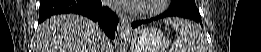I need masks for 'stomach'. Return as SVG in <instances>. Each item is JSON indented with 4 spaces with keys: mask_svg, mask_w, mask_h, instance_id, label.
Wrapping results in <instances>:
<instances>
[{
    "mask_svg": "<svg viewBox=\"0 0 261 52\" xmlns=\"http://www.w3.org/2000/svg\"><path fill=\"white\" fill-rule=\"evenodd\" d=\"M133 52H164L166 40L163 34L156 29H136L131 38Z\"/></svg>",
    "mask_w": 261,
    "mask_h": 52,
    "instance_id": "stomach-1",
    "label": "stomach"
}]
</instances>
